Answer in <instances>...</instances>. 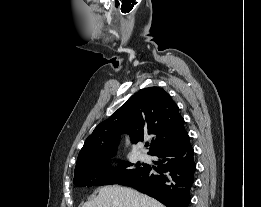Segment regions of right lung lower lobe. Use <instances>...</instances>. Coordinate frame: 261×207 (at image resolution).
I'll use <instances>...</instances> for the list:
<instances>
[{"label": "right lung lower lobe", "mask_w": 261, "mask_h": 207, "mask_svg": "<svg viewBox=\"0 0 261 207\" xmlns=\"http://www.w3.org/2000/svg\"><path fill=\"white\" fill-rule=\"evenodd\" d=\"M151 155L159 158L155 162L158 165L154 168L156 174L152 173L151 166L145 164L141 170L118 184L133 187L167 207H188L196 169L189 136L180 144Z\"/></svg>", "instance_id": "98d812e1"}]
</instances>
